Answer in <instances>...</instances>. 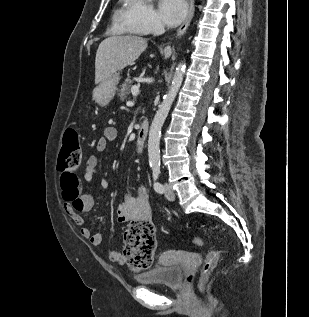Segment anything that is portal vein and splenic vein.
<instances>
[{
	"label": "portal vein and splenic vein",
	"instance_id": "18ae733b",
	"mask_svg": "<svg viewBox=\"0 0 309 317\" xmlns=\"http://www.w3.org/2000/svg\"><path fill=\"white\" fill-rule=\"evenodd\" d=\"M131 92H132V95L136 97L139 94V87L136 85L132 86ZM133 103L134 102H131V104H133Z\"/></svg>",
	"mask_w": 309,
	"mask_h": 317
}]
</instances>
